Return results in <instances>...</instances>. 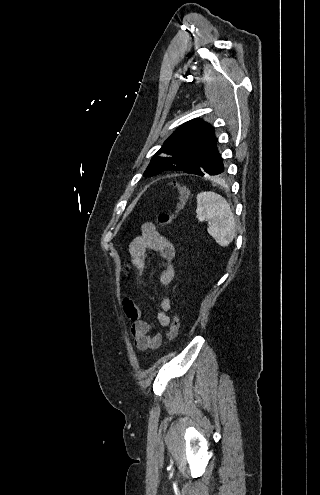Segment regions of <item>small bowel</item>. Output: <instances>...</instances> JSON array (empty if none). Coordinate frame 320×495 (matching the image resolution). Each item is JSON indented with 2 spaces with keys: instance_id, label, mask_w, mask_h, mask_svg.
Returning <instances> with one entry per match:
<instances>
[{
  "instance_id": "small-bowel-1",
  "label": "small bowel",
  "mask_w": 320,
  "mask_h": 495,
  "mask_svg": "<svg viewBox=\"0 0 320 495\" xmlns=\"http://www.w3.org/2000/svg\"><path fill=\"white\" fill-rule=\"evenodd\" d=\"M129 250L130 265L136 269L140 278L148 269L149 252H157L163 259V267L159 276L160 285L166 287L172 282L175 276L173 261L176 249L174 244L159 232L153 222H147L142 226L141 234L131 242ZM170 307L171 301L165 295L157 314V322L162 327L171 324V318L167 314ZM123 308L127 317L132 321L131 335L136 348L142 351L158 349L162 343V336L151 334L153 325L143 318L142 310L128 299L123 301Z\"/></svg>"
}]
</instances>
